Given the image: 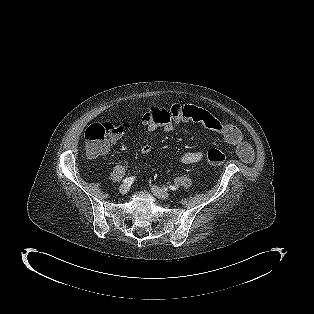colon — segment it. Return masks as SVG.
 <instances>
[{
    "label": "colon",
    "mask_w": 314,
    "mask_h": 314,
    "mask_svg": "<svg viewBox=\"0 0 314 314\" xmlns=\"http://www.w3.org/2000/svg\"><path fill=\"white\" fill-rule=\"evenodd\" d=\"M156 110V109H155ZM126 124L121 121H107L94 123L88 126L84 132L86 152L91 157L104 155L112 139L123 132ZM211 165H220L225 162V154L218 149H210L206 155Z\"/></svg>",
    "instance_id": "1"
}]
</instances>
